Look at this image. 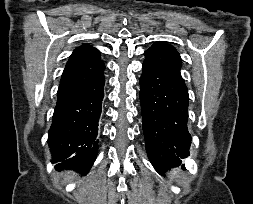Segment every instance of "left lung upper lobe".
<instances>
[{
	"label": "left lung upper lobe",
	"mask_w": 253,
	"mask_h": 204,
	"mask_svg": "<svg viewBox=\"0 0 253 204\" xmlns=\"http://www.w3.org/2000/svg\"><path fill=\"white\" fill-rule=\"evenodd\" d=\"M155 44H162V45H165V46H168V47L173 48L172 46H170V45H168V44H166V43H164V42H157V43H155ZM173 49H174V48H173Z\"/></svg>",
	"instance_id": "5c2ea615"
}]
</instances>
